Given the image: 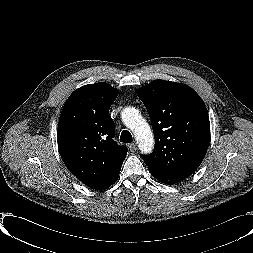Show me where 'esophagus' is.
<instances>
[{"mask_svg":"<svg viewBox=\"0 0 253 253\" xmlns=\"http://www.w3.org/2000/svg\"><path fill=\"white\" fill-rule=\"evenodd\" d=\"M128 147H129V149H130L131 152H135L137 150L136 143H131V144H129Z\"/></svg>","mask_w":253,"mask_h":253,"instance_id":"1","label":"esophagus"}]
</instances>
